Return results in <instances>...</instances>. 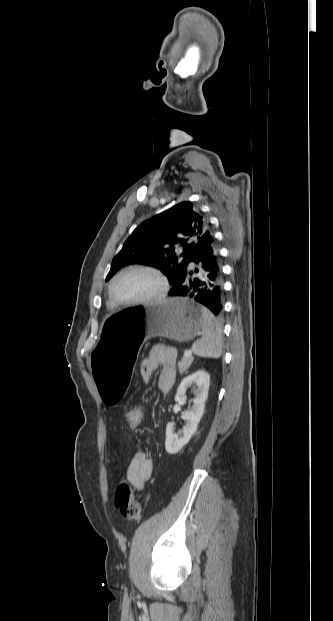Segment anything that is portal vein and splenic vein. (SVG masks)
Here are the masks:
<instances>
[{
	"mask_svg": "<svg viewBox=\"0 0 333 621\" xmlns=\"http://www.w3.org/2000/svg\"><path fill=\"white\" fill-rule=\"evenodd\" d=\"M190 355H191V353L189 351H187V350L184 351V356L185 357H189Z\"/></svg>",
	"mask_w": 333,
	"mask_h": 621,
	"instance_id": "portal-vein-and-splenic-vein-1",
	"label": "portal vein and splenic vein"
}]
</instances>
